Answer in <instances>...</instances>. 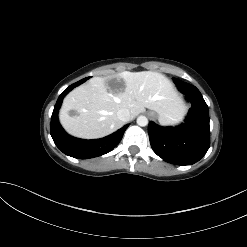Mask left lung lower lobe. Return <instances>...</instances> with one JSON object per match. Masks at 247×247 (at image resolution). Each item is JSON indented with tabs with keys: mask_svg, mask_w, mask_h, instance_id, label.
I'll return each mask as SVG.
<instances>
[{
	"mask_svg": "<svg viewBox=\"0 0 247 247\" xmlns=\"http://www.w3.org/2000/svg\"><path fill=\"white\" fill-rule=\"evenodd\" d=\"M192 106L183 124L177 127L148 125L153 151L163 160L177 165H191L199 161L210 147L208 106L199 90L188 83L173 78Z\"/></svg>",
	"mask_w": 247,
	"mask_h": 247,
	"instance_id": "left-lung-lower-lobe-1",
	"label": "left lung lower lobe"
}]
</instances>
